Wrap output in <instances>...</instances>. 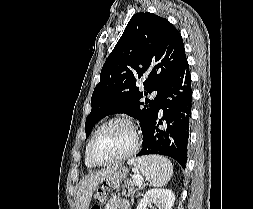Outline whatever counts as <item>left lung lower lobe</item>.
<instances>
[{
	"instance_id": "obj_1",
	"label": "left lung lower lobe",
	"mask_w": 253,
	"mask_h": 209,
	"mask_svg": "<svg viewBox=\"0 0 253 209\" xmlns=\"http://www.w3.org/2000/svg\"><path fill=\"white\" fill-rule=\"evenodd\" d=\"M191 106V76L185 58L163 89L159 107L163 116L157 113L147 130L143 148L136 156L166 155L175 159L185 169Z\"/></svg>"
}]
</instances>
